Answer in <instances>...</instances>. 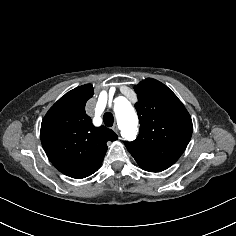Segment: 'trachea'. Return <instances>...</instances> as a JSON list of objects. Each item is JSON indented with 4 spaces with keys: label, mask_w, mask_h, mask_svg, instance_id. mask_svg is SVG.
I'll list each match as a JSON object with an SVG mask.
<instances>
[{
    "label": "trachea",
    "mask_w": 236,
    "mask_h": 236,
    "mask_svg": "<svg viewBox=\"0 0 236 236\" xmlns=\"http://www.w3.org/2000/svg\"><path fill=\"white\" fill-rule=\"evenodd\" d=\"M103 122L107 127H112L114 122V117L110 112H106L103 116Z\"/></svg>",
    "instance_id": "obj_1"
}]
</instances>
